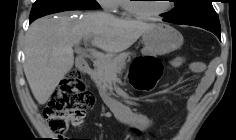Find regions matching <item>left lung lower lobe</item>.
Here are the masks:
<instances>
[{
  "label": "left lung lower lobe",
  "mask_w": 236,
  "mask_h": 140,
  "mask_svg": "<svg viewBox=\"0 0 236 140\" xmlns=\"http://www.w3.org/2000/svg\"><path fill=\"white\" fill-rule=\"evenodd\" d=\"M164 21L169 22L167 18H165ZM211 32H213L219 39H221V37H220L221 36L220 35L221 32L220 33L214 32V31H211Z\"/></svg>",
  "instance_id": "left-lung-lower-lobe-1"
}]
</instances>
